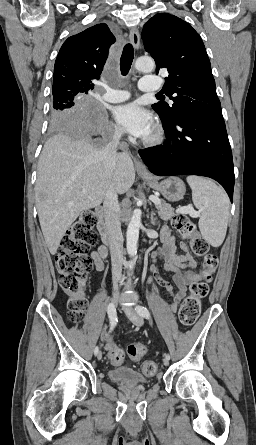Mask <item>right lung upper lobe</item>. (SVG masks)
<instances>
[{"label": "right lung upper lobe", "instance_id": "obj_1", "mask_svg": "<svg viewBox=\"0 0 256 445\" xmlns=\"http://www.w3.org/2000/svg\"><path fill=\"white\" fill-rule=\"evenodd\" d=\"M115 42L109 27L102 23L69 37L60 48L54 65L53 95L67 91L88 93L94 89Z\"/></svg>", "mask_w": 256, "mask_h": 445}]
</instances>
